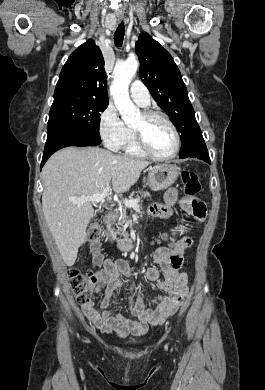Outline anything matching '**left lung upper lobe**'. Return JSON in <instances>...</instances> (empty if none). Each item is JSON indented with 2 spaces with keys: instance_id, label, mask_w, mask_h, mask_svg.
I'll return each instance as SVG.
<instances>
[{
  "instance_id": "1",
  "label": "left lung upper lobe",
  "mask_w": 265,
  "mask_h": 390,
  "mask_svg": "<svg viewBox=\"0 0 265 390\" xmlns=\"http://www.w3.org/2000/svg\"><path fill=\"white\" fill-rule=\"evenodd\" d=\"M140 77L158 105L171 117L181 134L180 158L204 143L181 73L170 53L148 33L135 46Z\"/></svg>"
}]
</instances>
